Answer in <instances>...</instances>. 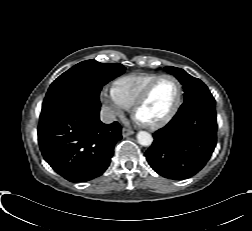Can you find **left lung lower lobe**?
Returning a JSON list of instances; mask_svg holds the SVG:
<instances>
[{
  "label": "left lung lower lobe",
  "instance_id": "left-lung-lower-lobe-1",
  "mask_svg": "<svg viewBox=\"0 0 252 231\" xmlns=\"http://www.w3.org/2000/svg\"><path fill=\"white\" fill-rule=\"evenodd\" d=\"M153 137L145 156L154 171L170 179L196 174L209 160L217 142L213 96L184 101L173 119Z\"/></svg>",
  "mask_w": 252,
  "mask_h": 231
}]
</instances>
